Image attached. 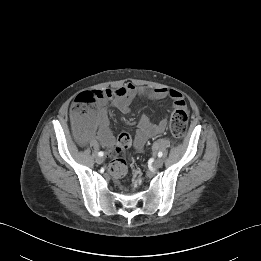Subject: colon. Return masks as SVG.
Wrapping results in <instances>:
<instances>
[{
  "label": "colon",
  "instance_id": "obj_1",
  "mask_svg": "<svg viewBox=\"0 0 261 261\" xmlns=\"http://www.w3.org/2000/svg\"><path fill=\"white\" fill-rule=\"evenodd\" d=\"M72 114L76 122H81L84 115L90 114L93 107L87 100V96L80 94L72 104ZM188 114L184 109L176 110L170 118V131L176 138H182L187 131ZM132 146L130 135L123 133L119 135L116 142L108 151V156L112 159L110 171L115 176H123L127 172V162L121 156V153Z\"/></svg>",
  "mask_w": 261,
  "mask_h": 261
}]
</instances>
